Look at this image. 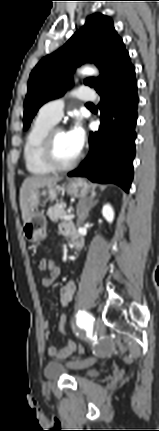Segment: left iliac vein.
Masks as SVG:
<instances>
[{
  "mask_svg": "<svg viewBox=\"0 0 159 431\" xmlns=\"http://www.w3.org/2000/svg\"><path fill=\"white\" fill-rule=\"evenodd\" d=\"M95 323H96V325L98 327H100L101 326V320H100V318H96L95 319ZM100 333H103L102 329H100ZM95 362H96V358L91 357V358H88L85 361L81 362L80 364H78V366L79 367H88V366L94 364Z\"/></svg>",
  "mask_w": 159,
  "mask_h": 431,
  "instance_id": "left-iliac-vein-1",
  "label": "left iliac vein"
}]
</instances>
